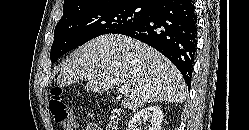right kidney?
<instances>
[{
	"mask_svg": "<svg viewBox=\"0 0 249 130\" xmlns=\"http://www.w3.org/2000/svg\"><path fill=\"white\" fill-rule=\"evenodd\" d=\"M163 113L159 106H148L137 111L128 122L127 130H139V126L146 125L148 130H160Z\"/></svg>",
	"mask_w": 249,
	"mask_h": 130,
	"instance_id": "right-kidney-1",
	"label": "right kidney"
}]
</instances>
